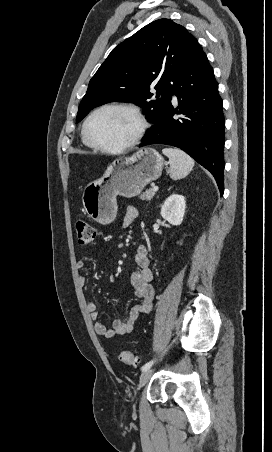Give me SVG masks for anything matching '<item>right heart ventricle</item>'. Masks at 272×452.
<instances>
[{
	"instance_id": "e07e8e85",
	"label": "right heart ventricle",
	"mask_w": 272,
	"mask_h": 452,
	"mask_svg": "<svg viewBox=\"0 0 272 452\" xmlns=\"http://www.w3.org/2000/svg\"><path fill=\"white\" fill-rule=\"evenodd\" d=\"M82 143L84 146L88 147V148H92L84 139L83 135H82Z\"/></svg>"
}]
</instances>
